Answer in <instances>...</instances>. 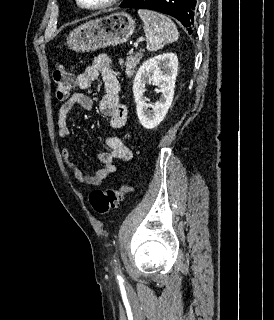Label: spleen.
Listing matches in <instances>:
<instances>
[{
    "instance_id": "spleen-1",
    "label": "spleen",
    "mask_w": 274,
    "mask_h": 320,
    "mask_svg": "<svg viewBox=\"0 0 274 320\" xmlns=\"http://www.w3.org/2000/svg\"><path fill=\"white\" fill-rule=\"evenodd\" d=\"M138 16L144 22V34L149 52H157L166 44L177 42L178 30L170 18L152 10H138Z\"/></svg>"
}]
</instances>
